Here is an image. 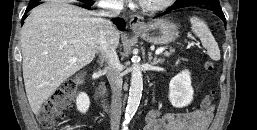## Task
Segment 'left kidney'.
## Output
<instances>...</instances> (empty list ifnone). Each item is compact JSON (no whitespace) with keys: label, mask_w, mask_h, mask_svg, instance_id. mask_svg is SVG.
I'll return each instance as SVG.
<instances>
[{"label":"left kidney","mask_w":257,"mask_h":130,"mask_svg":"<svg viewBox=\"0 0 257 130\" xmlns=\"http://www.w3.org/2000/svg\"><path fill=\"white\" fill-rule=\"evenodd\" d=\"M191 76L188 70H183L173 77L169 84V100L172 106L183 108L193 100Z\"/></svg>","instance_id":"1"}]
</instances>
